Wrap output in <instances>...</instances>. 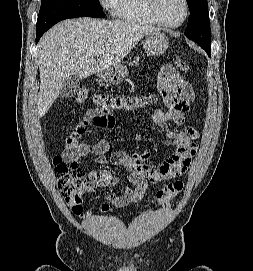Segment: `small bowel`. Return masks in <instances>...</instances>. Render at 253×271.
I'll return each instance as SVG.
<instances>
[{
	"label": "small bowel",
	"instance_id": "obj_1",
	"mask_svg": "<svg viewBox=\"0 0 253 271\" xmlns=\"http://www.w3.org/2000/svg\"><path fill=\"white\" fill-rule=\"evenodd\" d=\"M185 84L186 82L181 79L172 65L161 67L157 88L162 97L163 106L155 110L148 119L165 132L177 150L158 167L149 166L146 163L149 157V151L146 149H141L133 155L122 151L113 153L110 162L129 172V184H126L123 194L107 196V200L111 204L121 207L128 203L137 202L143 198L149 183L174 179L184 174L189 168L196 154L194 140L198 138L199 133L186 119V114L190 110L195 95L193 89H188ZM169 123L182 126L184 130H172L168 127ZM89 126L113 128L115 119L110 113L98 115L87 113L78 123L76 129L65 139L66 147L63 157L66 160L88 158V160L98 163L107 162L106 153L109 150V143L106 139H101L94 144L79 141ZM88 178V191L111 187L121 182L118 177L106 169L91 170L88 173Z\"/></svg>",
	"mask_w": 253,
	"mask_h": 271
}]
</instances>
